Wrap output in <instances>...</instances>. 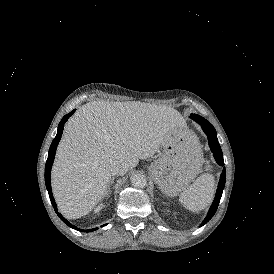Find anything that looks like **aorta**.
<instances>
[{"label":"aorta","mask_w":274,"mask_h":274,"mask_svg":"<svg viewBox=\"0 0 274 274\" xmlns=\"http://www.w3.org/2000/svg\"><path fill=\"white\" fill-rule=\"evenodd\" d=\"M131 183L135 188H144L147 185V179L144 175L135 174L131 176Z\"/></svg>","instance_id":"1"}]
</instances>
